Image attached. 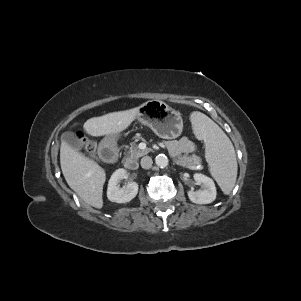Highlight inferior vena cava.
Here are the masks:
<instances>
[{"label":"inferior vena cava","mask_w":301,"mask_h":301,"mask_svg":"<svg viewBox=\"0 0 301 301\" xmlns=\"http://www.w3.org/2000/svg\"><path fill=\"white\" fill-rule=\"evenodd\" d=\"M140 164H141L142 168L149 169V168H151V166L153 164L152 158L149 156H145L141 159Z\"/></svg>","instance_id":"inferior-vena-cava-1"}]
</instances>
